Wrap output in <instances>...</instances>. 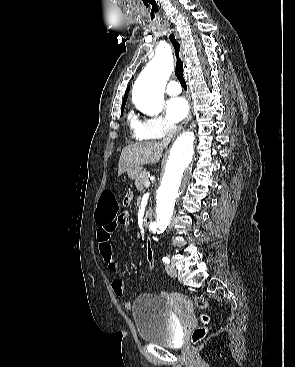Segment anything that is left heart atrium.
Returning <instances> with one entry per match:
<instances>
[{
  "label": "left heart atrium",
  "instance_id": "1",
  "mask_svg": "<svg viewBox=\"0 0 295 367\" xmlns=\"http://www.w3.org/2000/svg\"><path fill=\"white\" fill-rule=\"evenodd\" d=\"M188 103L182 97L172 98L166 104L168 118L172 122L182 120L188 113Z\"/></svg>",
  "mask_w": 295,
  "mask_h": 367
}]
</instances>
